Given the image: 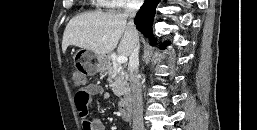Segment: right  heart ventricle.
I'll return each mask as SVG.
<instances>
[{
    "label": "right heart ventricle",
    "mask_w": 257,
    "mask_h": 130,
    "mask_svg": "<svg viewBox=\"0 0 257 130\" xmlns=\"http://www.w3.org/2000/svg\"><path fill=\"white\" fill-rule=\"evenodd\" d=\"M94 1L101 5V3H100V2H102L101 0H94Z\"/></svg>",
    "instance_id": "right-heart-ventricle-1"
}]
</instances>
